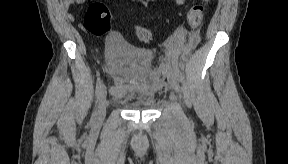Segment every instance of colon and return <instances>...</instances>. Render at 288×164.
I'll return each mask as SVG.
<instances>
[{"label":"colon","instance_id":"colon-1","mask_svg":"<svg viewBox=\"0 0 288 164\" xmlns=\"http://www.w3.org/2000/svg\"><path fill=\"white\" fill-rule=\"evenodd\" d=\"M204 15V5L196 4L187 13V21L190 27H197ZM112 15L106 5L102 2H93L85 15L84 27L95 36H102L111 29ZM134 32L142 42H149L151 35L144 28L134 26Z\"/></svg>","mask_w":288,"mask_h":164}]
</instances>
